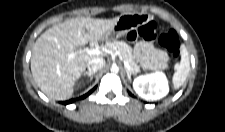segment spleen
<instances>
[{
  "instance_id": "3e777b00",
  "label": "spleen",
  "mask_w": 225,
  "mask_h": 132,
  "mask_svg": "<svg viewBox=\"0 0 225 132\" xmlns=\"http://www.w3.org/2000/svg\"><path fill=\"white\" fill-rule=\"evenodd\" d=\"M181 60L175 65V73L172 82L175 89H178L186 81L190 72L189 54L184 45L180 47Z\"/></svg>"
}]
</instances>
